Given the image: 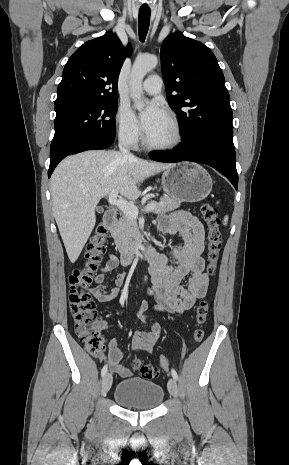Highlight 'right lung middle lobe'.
Segmentation results:
<instances>
[{
  "instance_id": "1",
  "label": "right lung middle lobe",
  "mask_w": 289,
  "mask_h": 465,
  "mask_svg": "<svg viewBox=\"0 0 289 465\" xmlns=\"http://www.w3.org/2000/svg\"><path fill=\"white\" fill-rule=\"evenodd\" d=\"M117 99L76 101L55 106L50 159L90 139L114 138Z\"/></svg>"
}]
</instances>
